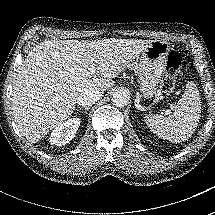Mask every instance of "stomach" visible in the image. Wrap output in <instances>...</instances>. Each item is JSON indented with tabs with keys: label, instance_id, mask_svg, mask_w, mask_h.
<instances>
[{
	"label": "stomach",
	"instance_id": "1",
	"mask_svg": "<svg viewBox=\"0 0 215 215\" xmlns=\"http://www.w3.org/2000/svg\"><path fill=\"white\" fill-rule=\"evenodd\" d=\"M173 51L167 41L154 40L137 58L135 71L139 77L140 92L145 99H151L157 92V84L166 70V62Z\"/></svg>",
	"mask_w": 215,
	"mask_h": 215
}]
</instances>
